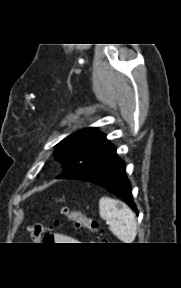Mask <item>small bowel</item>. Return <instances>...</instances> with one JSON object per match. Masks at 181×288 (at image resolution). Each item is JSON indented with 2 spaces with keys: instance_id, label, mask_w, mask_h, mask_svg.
I'll use <instances>...</instances> for the list:
<instances>
[{
  "instance_id": "c3829d8e",
  "label": "small bowel",
  "mask_w": 181,
  "mask_h": 288,
  "mask_svg": "<svg viewBox=\"0 0 181 288\" xmlns=\"http://www.w3.org/2000/svg\"><path fill=\"white\" fill-rule=\"evenodd\" d=\"M51 241L58 244L79 243V241L69 235L55 233L52 235Z\"/></svg>"
}]
</instances>
